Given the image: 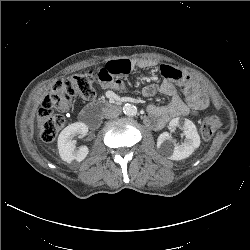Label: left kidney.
I'll return each instance as SVG.
<instances>
[{
	"instance_id": "5707ae66",
	"label": "left kidney",
	"mask_w": 250,
	"mask_h": 250,
	"mask_svg": "<svg viewBox=\"0 0 250 250\" xmlns=\"http://www.w3.org/2000/svg\"><path fill=\"white\" fill-rule=\"evenodd\" d=\"M180 127L186 137L184 142L177 144L168 132H163L157 139V149L170 160H182L189 157L200 146V136L194 123L188 119L183 121L179 117L169 123L170 130Z\"/></svg>"
}]
</instances>
